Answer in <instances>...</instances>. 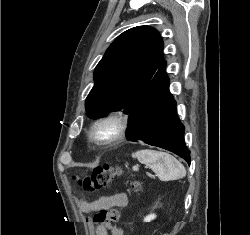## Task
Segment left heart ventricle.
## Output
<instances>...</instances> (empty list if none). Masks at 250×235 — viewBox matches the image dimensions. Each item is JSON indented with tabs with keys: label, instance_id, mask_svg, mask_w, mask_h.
<instances>
[{
	"label": "left heart ventricle",
	"instance_id": "left-heart-ventricle-1",
	"mask_svg": "<svg viewBox=\"0 0 250 235\" xmlns=\"http://www.w3.org/2000/svg\"><path fill=\"white\" fill-rule=\"evenodd\" d=\"M106 133H108V130L105 129V130L103 131V134H106Z\"/></svg>",
	"mask_w": 250,
	"mask_h": 235
}]
</instances>
